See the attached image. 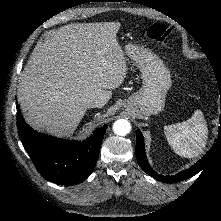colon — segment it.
Returning a JSON list of instances; mask_svg holds the SVG:
<instances>
[{
    "mask_svg": "<svg viewBox=\"0 0 221 221\" xmlns=\"http://www.w3.org/2000/svg\"><path fill=\"white\" fill-rule=\"evenodd\" d=\"M142 34L145 37L160 42L167 47L172 48L174 46L171 30L162 24H153L144 29Z\"/></svg>",
    "mask_w": 221,
    "mask_h": 221,
    "instance_id": "colon-1",
    "label": "colon"
}]
</instances>
